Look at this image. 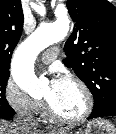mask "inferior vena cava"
<instances>
[{
    "label": "inferior vena cava",
    "instance_id": "obj_1",
    "mask_svg": "<svg viewBox=\"0 0 116 134\" xmlns=\"http://www.w3.org/2000/svg\"><path fill=\"white\" fill-rule=\"evenodd\" d=\"M16 123V127L20 134H29L36 126V121L34 120L32 114L27 112H20L18 114Z\"/></svg>",
    "mask_w": 116,
    "mask_h": 134
}]
</instances>
